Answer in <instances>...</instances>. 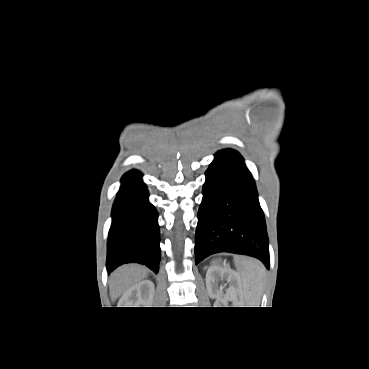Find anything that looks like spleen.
I'll return each instance as SVG.
<instances>
[{"label": "spleen", "instance_id": "3e777b00", "mask_svg": "<svg viewBox=\"0 0 369 369\" xmlns=\"http://www.w3.org/2000/svg\"><path fill=\"white\" fill-rule=\"evenodd\" d=\"M235 265L239 274L242 298L249 305L259 307L264 285V266L257 260L235 257Z\"/></svg>", "mask_w": 369, "mask_h": 369}]
</instances>
